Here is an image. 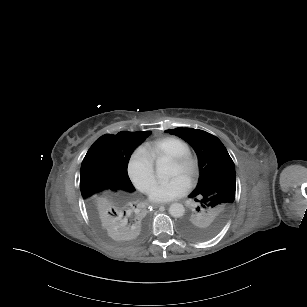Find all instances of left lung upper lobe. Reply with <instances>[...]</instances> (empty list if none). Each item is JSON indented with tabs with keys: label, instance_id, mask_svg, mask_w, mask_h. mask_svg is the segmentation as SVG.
I'll return each instance as SVG.
<instances>
[{
	"label": "left lung upper lobe",
	"instance_id": "5c2ea615",
	"mask_svg": "<svg viewBox=\"0 0 307 307\" xmlns=\"http://www.w3.org/2000/svg\"><path fill=\"white\" fill-rule=\"evenodd\" d=\"M187 141L195 150L200 177L189 195L198 207L180 223L181 232L193 240H206L224 226L235 199V165L225 146L214 135L198 129L167 130Z\"/></svg>",
	"mask_w": 307,
	"mask_h": 307
}]
</instances>
